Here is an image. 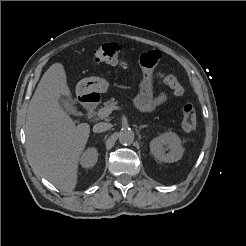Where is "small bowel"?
Segmentation results:
<instances>
[{"instance_id":"obj_1","label":"small bowel","mask_w":246,"mask_h":246,"mask_svg":"<svg viewBox=\"0 0 246 246\" xmlns=\"http://www.w3.org/2000/svg\"><path fill=\"white\" fill-rule=\"evenodd\" d=\"M161 57L162 55L159 51L153 50L147 52L141 58V63L144 68V79L141 84L139 94L136 97L135 104L142 112L153 111L168 100V94L165 91L161 92L157 96L153 93L154 67Z\"/></svg>"}]
</instances>
